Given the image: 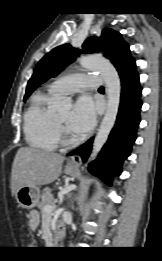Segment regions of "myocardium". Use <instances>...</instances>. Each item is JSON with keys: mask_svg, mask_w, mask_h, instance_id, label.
Returning a JSON list of instances; mask_svg holds the SVG:
<instances>
[{"mask_svg": "<svg viewBox=\"0 0 162 261\" xmlns=\"http://www.w3.org/2000/svg\"><path fill=\"white\" fill-rule=\"evenodd\" d=\"M55 124L57 127L58 135L62 137L63 142L65 144L73 143L74 140L71 137V134L68 131L67 127L63 123H61L56 116H55Z\"/></svg>", "mask_w": 162, "mask_h": 261, "instance_id": "1", "label": "myocardium"}]
</instances>
